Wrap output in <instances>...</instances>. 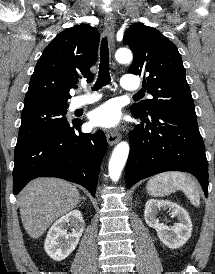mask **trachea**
Segmentation results:
<instances>
[{
    "mask_svg": "<svg viewBox=\"0 0 215 274\" xmlns=\"http://www.w3.org/2000/svg\"><path fill=\"white\" fill-rule=\"evenodd\" d=\"M109 49L107 38H103L100 48V66H99V75L98 79L92 88L93 90H98L103 86H106L111 83V78L109 74ZM134 97H140V94L137 93Z\"/></svg>",
    "mask_w": 215,
    "mask_h": 274,
    "instance_id": "obj_1",
    "label": "trachea"
}]
</instances>
